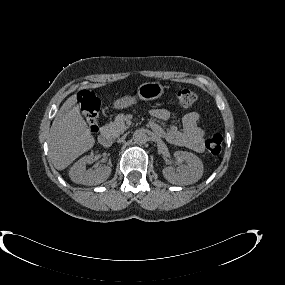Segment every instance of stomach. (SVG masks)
<instances>
[{"mask_svg":"<svg viewBox=\"0 0 285 285\" xmlns=\"http://www.w3.org/2000/svg\"><path fill=\"white\" fill-rule=\"evenodd\" d=\"M164 94V86L160 82H146L142 83L137 88L136 96H124L113 102L112 107L116 110L131 107L138 103V101H151L161 98Z\"/></svg>","mask_w":285,"mask_h":285,"instance_id":"obj_1","label":"stomach"}]
</instances>
